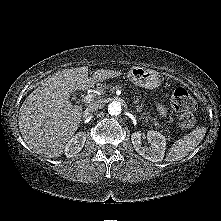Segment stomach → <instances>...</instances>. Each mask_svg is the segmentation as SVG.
I'll return each mask as SVG.
<instances>
[{
	"mask_svg": "<svg viewBox=\"0 0 221 221\" xmlns=\"http://www.w3.org/2000/svg\"><path fill=\"white\" fill-rule=\"evenodd\" d=\"M127 76L133 84L146 89H155L161 83L156 71L139 66H133Z\"/></svg>",
	"mask_w": 221,
	"mask_h": 221,
	"instance_id": "obj_1",
	"label": "stomach"
}]
</instances>
